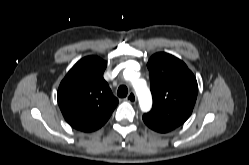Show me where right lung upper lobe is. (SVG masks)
<instances>
[{
  "label": "right lung upper lobe",
  "mask_w": 249,
  "mask_h": 165,
  "mask_svg": "<svg viewBox=\"0 0 249 165\" xmlns=\"http://www.w3.org/2000/svg\"><path fill=\"white\" fill-rule=\"evenodd\" d=\"M107 62L97 56L78 61L58 88V104L75 129L91 132L103 126L118 104L103 78Z\"/></svg>",
  "instance_id": "1"
}]
</instances>
